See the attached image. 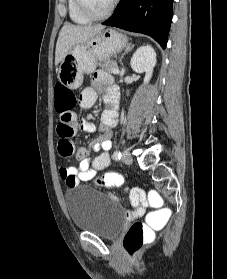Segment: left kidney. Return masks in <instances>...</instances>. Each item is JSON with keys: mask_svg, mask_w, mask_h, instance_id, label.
<instances>
[{"mask_svg": "<svg viewBox=\"0 0 227 279\" xmlns=\"http://www.w3.org/2000/svg\"><path fill=\"white\" fill-rule=\"evenodd\" d=\"M131 68L137 73L145 72L144 83L147 84L156 65V53L150 45L139 47L131 58Z\"/></svg>", "mask_w": 227, "mask_h": 279, "instance_id": "obj_1", "label": "left kidney"}]
</instances>
